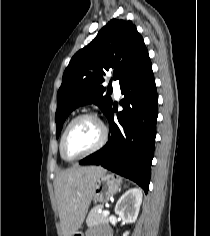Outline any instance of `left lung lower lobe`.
<instances>
[{"mask_svg": "<svg viewBox=\"0 0 210 236\" xmlns=\"http://www.w3.org/2000/svg\"><path fill=\"white\" fill-rule=\"evenodd\" d=\"M123 110L113 120L111 109L107 118L110 136L107 144L80 164L101 165L129 178L148 192L150 167L156 137L158 95L151 61H147L121 86Z\"/></svg>", "mask_w": 210, "mask_h": 236, "instance_id": "1", "label": "left lung lower lobe"}]
</instances>
